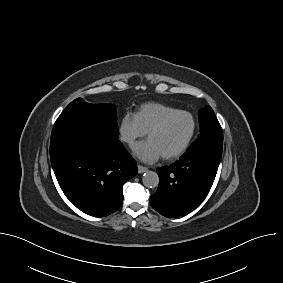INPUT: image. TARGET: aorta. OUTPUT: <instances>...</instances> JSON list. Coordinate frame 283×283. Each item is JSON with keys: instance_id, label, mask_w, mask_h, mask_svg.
Wrapping results in <instances>:
<instances>
[{"instance_id": "1", "label": "aorta", "mask_w": 283, "mask_h": 283, "mask_svg": "<svg viewBox=\"0 0 283 283\" xmlns=\"http://www.w3.org/2000/svg\"><path fill=\"white\" fill-rule=\"evenodd\" d=\"M142 182L148 188H155L159 184L158 174L154 171H147L143 175Z\"/></svg>"}]
</instances>
